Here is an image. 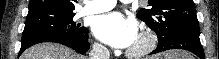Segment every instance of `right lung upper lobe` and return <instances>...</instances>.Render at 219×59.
<instances>
[{"label":"right lung upper lobe","instance_id":"cb5924a9","mask_svg":"<svg viewBox=\"0 0 219 59\" xmlns=\"http://www.w3.org/2000/svg\"><path fill=\"white\" fill-rule=\"evenodd\" d=\"M76 2V0H30L28 13L38 10L73 12Z\"/></svg>","mask_w":219,"mask_h":59}]
</instances>
